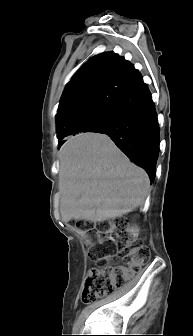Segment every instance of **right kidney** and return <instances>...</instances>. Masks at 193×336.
Returning <instances> with one entry per match:
<instances>
[{"mask_svg": "<svg viewBox=\"0 0 193 336\" xmlns=\"http://www.w3.org/2000/svg\"><path fill=\"white\" fill-rule=\"evenodd\" d=\"M129 234L130 235H133V236H138L139 234V227L137 225H133L130 227V229L128 230Z\"/></svg>", "mask_w": 193, "mask_h": 336, "instance_id": "1", "label": "right kidney"}]
</instances>
